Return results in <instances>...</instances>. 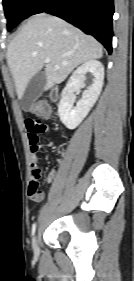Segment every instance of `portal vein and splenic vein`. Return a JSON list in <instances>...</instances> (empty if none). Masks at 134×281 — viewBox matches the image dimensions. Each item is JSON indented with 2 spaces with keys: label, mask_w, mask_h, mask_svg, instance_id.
<instances>
[{
  "label": "portal vein and splenic vein",
  "mask_w": 134,
  "mask_h": 281,
  "mask_svg": "<svg viewBox=\"0 0 134 281\" xmlns=\"http://www.w3.org/2000/svg\"><path fill=\"white\" fill-rule=\"evenodd\" d=\"M44 61H45V63H49L50 62V58H46Z\"/></svg>",
  "instance_id": "18ae733b"
}]
</instances>
